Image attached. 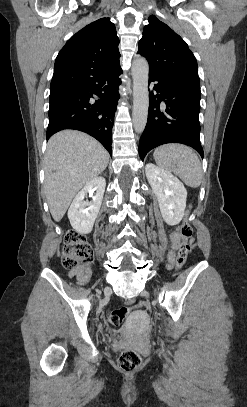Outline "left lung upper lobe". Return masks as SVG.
Returning <instances> with one entry per match:
<instances>
[{"mask_svg": "<svg viewBox=\"0 0 247 407\" xmlns=\"http://www.w3.org/2000/svg\"><path fill=\"white\" fill-rule=\"evenodd\" d=\"M148 21L137 54L147 58L150 74L200 85L196 58L185 41L156 16Z\"/></svg>", "mask_w": 247, "mask_h": 407, "instance_id": "left-lung-upper-lobe-1", "label": "left lung upper lobe"}]
</instances>
